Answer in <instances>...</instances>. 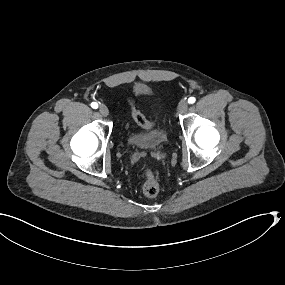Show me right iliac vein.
Segmentation results:
<instances>
[{
  "instance_id": "right-iliac-vein-1",
  "label": "right iliac vein",
  "mask_w": 285,
  "mask_h": 285,
  "mask_svg": "<svg viewBox=\"0 0 285 285\" xmlns=\"http://www.w3.org/2000/svg\"><path fill=\"white\" fill-rule=\"evenodd\" d=\"M99 113L103 116V117H107L109 115V110L105 105H101L99 107Z\"/></svg>"
}]
</instances>
